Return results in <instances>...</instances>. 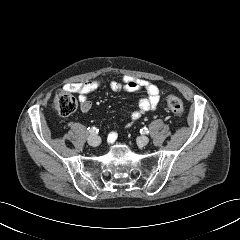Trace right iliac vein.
Segmentation results:
<instances>
[{"label": "right iliac vein", "instance_id": "63e3f726", "mask_svg": "<svg viewBox=\"0 0 240 240\" xmlns=\"http://www.w3.org/2000/svg\"><path fill=\"white\" fill-rule=\"evenodd\" d=\"M87 141H88V144H89L90 146H92V147H97V146H99V144L101 143L100 137L97 136V135H95V134H94V135H90V136L88 137Z\"/></svg>", "mask_w": 240, "mask_h": 240}]
</instances>
